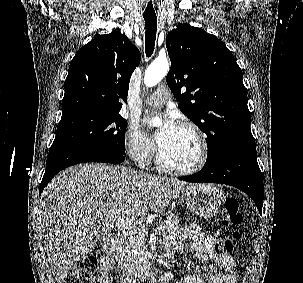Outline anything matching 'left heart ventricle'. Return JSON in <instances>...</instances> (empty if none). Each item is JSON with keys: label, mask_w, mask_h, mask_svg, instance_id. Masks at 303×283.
<instances>
[{"label": "left heart ventricle", "mask_w": 303, "mask_h": 283, "mask_svg": "<svg viewBox=\"0 0 303 283\" xmlns=\"http://www.w3.org/2000/svg\"><path fill=\"white\" fill-rule=\"evenodd\" d=\"M166 163L177 168H187L199 157V144L194 133L178 127L168 142L160 148Z\"/></svg>", "instance_id": "1"}]
</instances>
